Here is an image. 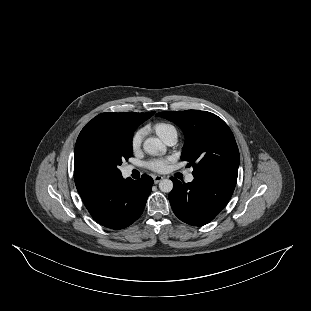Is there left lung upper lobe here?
<instances>
[{"label": "left lung upper lobe", "mask_w": 311, "mask_h": 311, "mask_svg": "<svg viewBox=\"0 0 311 311\" xmlns=\"http://www.w3.org/2000/svg\"><path fill=\"white\" fill-rule=\"evenodd\" d=\"M156 116L176 123L185 134L181 159L193 165L194 177L238 175L239 150L228 125L207 111L160 112Z\"/></svg>", "instance_id": "1"}]
</instances>
